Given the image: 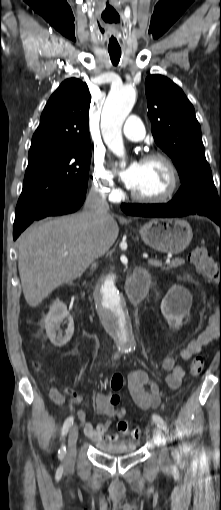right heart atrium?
I'll list each match as a JSON object with an SVG mask.
<instances>
[{"label":"right heart atrium","mask_w":221,"mask_h":510,"mask_svg":"<svg viewBox=\"0 0 221 510\" xmlns=\"http://www.w3.org/2000/svg\"><path fill=\"white\" fill-rule=\"evenodd\" d=\"M92 186L100 195L110 199L116 197L118 192L115 177L101 156L94 158Z\"/></svg>","instance_id":"1"}]
</instances>
